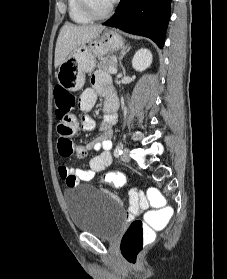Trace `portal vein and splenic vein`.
<instances>
[{
  "mask_svg": "<svg viewBox=\"0 0 227 279\" xmlns=\"http://www.w3.org/2000/svg\"><path fill=\"white\" fill-rule=\"evenodd\" d=\"M110 73H112V74H116L117 73V68H115V67H110Z\"/></svg>",
  "mask_w": 227,
  "mask_h": 279,
  "instance_id": "18ae733b",
  "label": "portal vein and splenic vein"
}]
</instances>
